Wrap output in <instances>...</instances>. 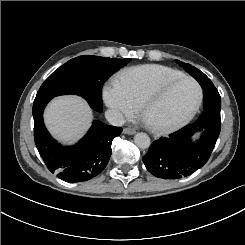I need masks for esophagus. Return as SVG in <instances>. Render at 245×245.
Listing matches in <instances>:
<instances>
[{"instance_id": "1", "label": "esophagus", "mask_w": 245, "mask_h": 245, "mask_svg": "<svg viewBox=\"0 0 245 245\" xmlns=\"http://www.w3.org/2000/svg\"><path fill=\"white\" fill-rule=\"evenodd\" d=\"M123 133H124V134H128V135H133V134L136 133V130L127 127V128H124V129H123Z\"/></svg>"}]
</instances>
